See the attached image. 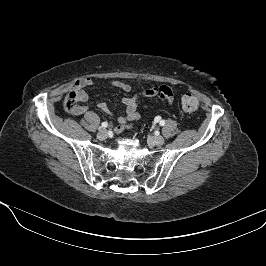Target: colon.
Masks as SVG:
<instances>
[{"label": "colon", "instance_id": "obj_1", "mask_svg": "<svg viewBox=\"0 0 266 266\" xmlns=\"http://www.w3.org/2000/svg\"><path fill=\"white\" fill-rule=\"evenodd\" d=\"M79 104L78 94L75 90L71 91L64 100V107L67 111L72 112ZM182 108L189 113H196L199 108L197 97L192 94H184L181 97Z\"/></svg>", "mask_w": 266, "mask_h": 266}]
</instances>
